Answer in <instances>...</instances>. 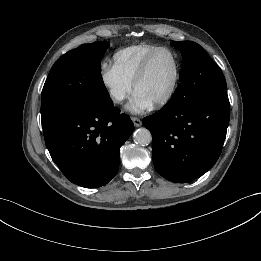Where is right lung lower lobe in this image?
Listing matches in <instances>:
<instances>
[{
	"label": "right lung lower lobe",
	"instance_id": "98d812e1",
	"mask_svg": "<svg viewBox=\"0 0 261 261\" xmlns=\"http://www.w3.org/2000/svg\"><path fill=\"white\" fill-rule=\"evenodd\" d=\"M56 165L74 184L97 188L118 172L120 147L133 132L129 116L113 106L71 115L43 130Z\"/></svg>",
	"mask_w": 261,
	"mask_h": 261
}]
</instances>
